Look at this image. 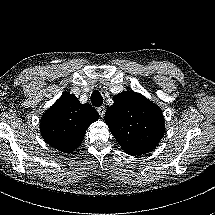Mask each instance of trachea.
<instances>
[{
    "instance_id": "obj_1",
    "label": "trachea",
    "mask_w": 215,
    "mask_h": 215,
    "mask_svg": "<svg viewBox=\"0 0 215 215\" xmlns=\"http://www.w3.org/2000/svg\"><path fill=\"white\" fill-rule=\"evenodd\" d=\"M92 105L95 107H101L103 104V97L100 92L94 91L91 95Z\"/></svg>"
}]
</instances>
